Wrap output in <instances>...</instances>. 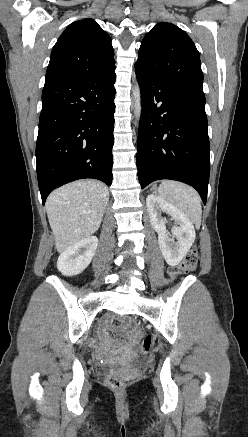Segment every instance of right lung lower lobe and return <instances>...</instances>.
<instances>
[{
    "instance_id": "right-lung-lower-lobe-1",
    "label": "right lung lower lobe",
    "mask_w": 248,
    "mask_h": 437,
    "mask_svg": "<svg viewBox=\"0 0 248 437\" xmlns=\"http://www.w3.org/2000/svg\"><path fill=\"white\" fill-rule=\"evenodd\" d=\"M115 66L84 78L45 80L36 144L43 204L68 182L112 181Z\"/></svg>"
}]
</instances>
